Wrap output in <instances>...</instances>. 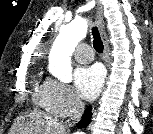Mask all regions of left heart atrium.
Returning a JSON list of instances; mask_svg holds the SVG:
<instances>
[{
	"label": "left heart atrium",
	"instance_id": "obj_1",
	"mask_svg": "<svg viewBox=\"0 0 153 134\" xmlns=\"http://www.w3.org/2000/svg\"><path fill=\"white\" fill-rule=\"evenodd\" d=\"M103 82L104 72L97 65L79 67L74 73L75 90L85 100H93L99 94Z\"/></svg>",
	"mask_w": 153,
	"mask_h": 134
}]
</instances>
